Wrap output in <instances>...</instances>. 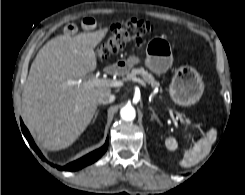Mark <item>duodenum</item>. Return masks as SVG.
<instances>
[{"instance_id":"obj_1","label":"duodenum","mask_w":245,"mask_h":195,"mask_svg":"<svg viewBox=\"0 0 245 195\" xmlns=\"http://www.w3.org/2000/svg\"><path fill=\"white\" fill-rule=\"evenodd\" d=\"M117 70H118V68H117L116 66H109V67L106 69V72L109 73V74H113V73H115Z\"/></svg>"}]
</instances>
